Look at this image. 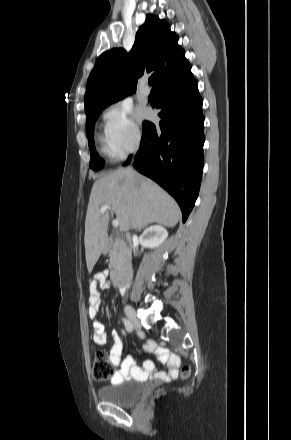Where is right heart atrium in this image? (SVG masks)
<instances>
[{
    "mask_svg": "<svg viewBox=\"0 0 291 440\" xmlns=\"http://www.w3.org/2000/svg\"><path fill=\"white\" fill-rule=\"evenodd\" d=\"M103 120L105 139L114 157L123 158L139 146L141 133L129 106L119 104L109 108Z\"/></svg>",
    "mask_w": 291,
    "mask_h": 440,
    "instance_id": "obj_1",
    "label": "right heart atrium"
}]
</instances>
